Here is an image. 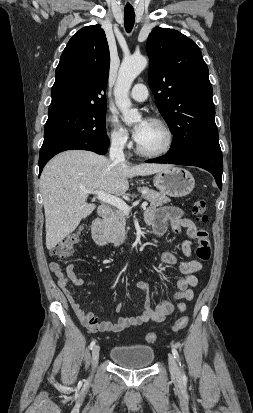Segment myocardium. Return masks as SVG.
Segmentation results:
<instances>
[{"instance_id":"1","label":"myocardium","mask_w":253,"mask_h":413,"mask_svg":"<svg viewBox=\"0 0 253 413\" xmlns=\"http://www.w3.org/2000/svg\"><path fill=\"white\" fill-rule=\"evenodd\" d=\"M151 122L157 124L164 131L166 142L161 149L156 151H146L139 146L138 142H136V152L141 156L152 158L162 156L171 150L174 143V133L169 124L161 118H152Z\"/></svg>"}]
</instances>
